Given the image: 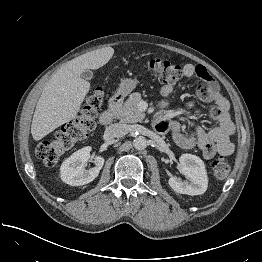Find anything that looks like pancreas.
<instances>
[{
	"label": "pancreas",
	"instance_id": "1",
	"mask_svg": "<svg viewBox=\"0 0 262 262\" xmlns=\"http://www.w3.org/2000/svg\"><path fill=\"white\" fill-rule=\"evenodd\" d=\"M141 101L142 97L140 93H132L123 106L118 108L116 112L117 118L126 123L141 122L145 117V114L138 109Z\"/></svg>",
	"mask_w": 262,
	"mask_h": 262
}]
</instances>
